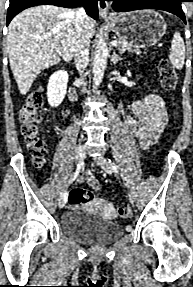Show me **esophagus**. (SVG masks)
<instances>
[{
  "label": "esophagus",
  "instance_id": "obj_1",
  "mask_svg": "<svg viewBox=\"0 0 193 287\" xmlns=\"http://www.w3.org/2000/svg\"><path fill=\"white\" fill-rule=\"evenodd\" d=\"M98 8H99V14L104 19L111 18L110 12H109V3L107 0H99L98 1Z\"/></svg>",
  "mask_w": 193,
  "mask_h": 287
}]
</instances>
